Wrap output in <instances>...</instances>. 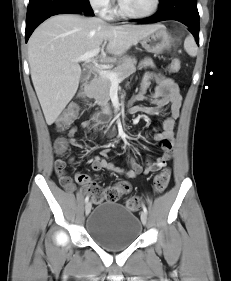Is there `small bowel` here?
<instances>
[{
	"instance_id": "obj_1",
	"label": "small bowel",
	"mask_w": 231,
	"mask_h": 281,
	"mask_svg": "<svg viewBox=\"0 0 231 281\" xmlns=\"http://www.w3.org/2000/svg\"><path fill=\"white\" fill-rule=\"evenodd\" d=\"M141 67L144 69H149L150 71L145 74L142 81L141 90L133 98V101L147 100L157 108H164L168 105L170 106V114L163 123V130L154 134L152 137L153 140L159 143L163 153L155 160L148 157L144 166L139 164L138 161L131 156L129 158L131 169H125L108 161L110 149L105 148L100 152V156H95L91 161V167L95 172L108 170L126 178H135L141 174H149L151 172L160 170L168 161L173 158L175 126L180 115L182 104L180 90L172 79L164 76L156 69L151 58L143 59L141 61ZM151 82H155L156 87L152 93H148V87ZM82 128L89 133H96L100 130V125L96 123L92 124L86 121L82 124ZM75 132V127L71 128L69 131L70 143L76 147H83L82 144L73 138ZM107 135L109 137L114 136V131L112 129H108ZM69 162L72 163L73 158H70ZM66 167V162L63 159H57L55 161L54 168L60 184L68 192H73L75 190V184L71 177L67 174ZM74 178L77 183L84 186L89 185L93 180V176L79 172H75Z\"/></svg>"
}]
</instances>
